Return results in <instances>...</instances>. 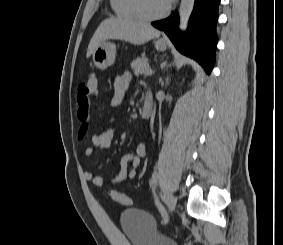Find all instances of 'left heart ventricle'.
Returning <instances> with one entry per match:
<instances>
[{
    "instance_id": "left-heart-ventricle-1",
    "label": "left heart ventricle",
    "mask_w": 283,
    "mask_h": 245,
    "mask_svg": "<svg viewBox=\"0 0 283 245\" xmlns=\"http://www.w3.org/2000/svg\"><path fill=\"white\" fill-rule=\"evenodd\" d=\"M169 0H142V8L147 14L154 15L162 12Z\"/></svg>"
}]
</instances>
